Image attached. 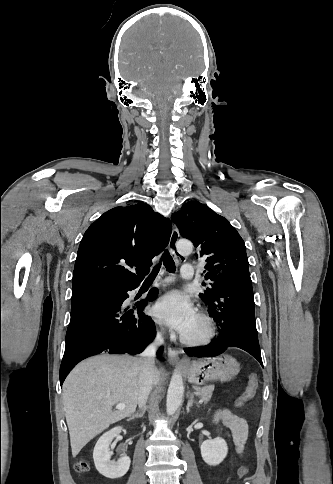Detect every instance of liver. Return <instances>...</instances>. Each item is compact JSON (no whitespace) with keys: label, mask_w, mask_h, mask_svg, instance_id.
<instances>
[{"label":"liver","mask_w":333,"mask_h":484,"mask_svg":"<svg viewBox=\"0 0 333 484\" xmlns=\"http://www.w3.org/2000/svg\"><path fill=\"white\" fill-rule=\"evenodd\" d=\"M160 372L153 369V383ZM138 367L136 358L107 354L91 357L78 364L62 387L63 408L69 429L72 456L111 424L130 417L138 403ZM125 409H113L115 404Z\"/></svg>","instance_id":"liver-1"}]
</instances>
